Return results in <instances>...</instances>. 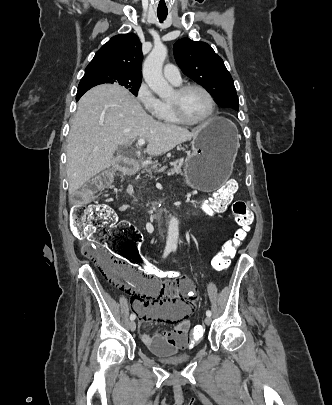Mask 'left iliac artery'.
I'll list each match as a JSON object with an SVG mask.
<instances>
[{
  "mask_svg": "<svg viewBox=\"0 0 332 405\" xmlns=\"http://www.w3.org/2000/svg\"><path fill=\"white\" fill-rule=\"evenodd\" d=\"M174 250H175V249H174ZM206 315H207L208 317H211L212 312H211L210 310H207V311H206Z\"/></svg>",
  "mask_w": 332,
  "mask_h": 405,
  "instance_id": "left-iliac-artery-1",
  "label": "left iliac artery"
}]
</instances>
